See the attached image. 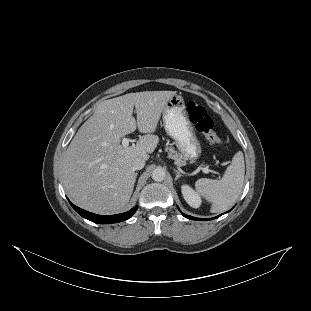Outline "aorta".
<instances>
[{"instance_id": "aorta-1", "label": "aorta", "mask_w": 311, "mask_h": 311, "mask_svg": "<svg viewBox=\"0 0 311 311\" xmlns=\"http://www.w3.org/2000/svg\"><path fill=\"white\" fill-rule=\"evenodd\" d=\"M165 177H166V173H165L164 169H162V168H156L152 172V179L155 182H162V181H164Z\"/></svg>"}]
</instances>
